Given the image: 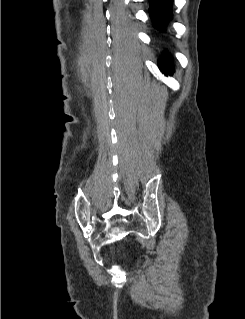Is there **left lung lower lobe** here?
Segmentation results:
<instances>
[{
    "label": "left lung lower lobe",
    "instance_id": "left-lung-lower-lobe-1",
    "mask_svg": "<svg viewBox=\"0 0 245 319\" xmlns=\"http://www.w3.org/2000/svg\"><path fill=\"white\" fill-rule=\"evenodd\" d=\"M173 0H149L150 2V16L153 21V25L156 28H163L164 25L171 19V4ZM165 59L159 60V68L165 74L171 75L173 67L170 64L172 57L169 54H165Z\"/></svg>",
    "mask_w": 245,
    "mask_h": 319
}]
</instances>
